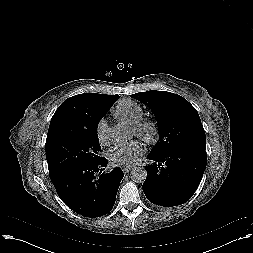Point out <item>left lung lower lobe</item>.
Instances as JSON below:
<instances>
[{"label":"left lung lower lobe","mask_w":253,"mask_h":253,"mask_svg":"<svg viewBox=\"0 0 253 253\" xmlns=\"http://www.w3.org/2000/svg\"><path fill=\"white\" fill-rule=\"evenodd\" d=\"M143 192L153 204L172 207L187 202L197 190L206 168V149L182 146L163 154L151 152Z\"/></svg>","instance_id":"1"}]
</instances>
